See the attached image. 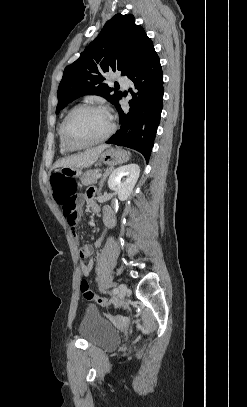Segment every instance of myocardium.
Instances as JSON below:
<instances>
[{"label":"myocardium","instance_id":"myocardium-1","mask_svg":"<svg viewBox=\"0 0 247 407\" xmlns=\"http://www.w3.org/2000/svg\"><path fill=\"white\" fill-rule=\"evenodd\" d=\"M83 110H99L104 112L110 121V127L108 129V131L100 138L88 142V143H83V144H77L74 143L73 141H71L68 137V125L71 121V119L80 111ZM115 131V122L114 119L111 115V113L102 105H98V104H90V103H86V104H81L78 105L76 107H74L65 117L64 121H63V125H62V139L64 144L72 149V150H78V149H84V148H88L94 145H97L99 143H102L104 141H106Z\"/></svg>","mask_w":247,"mask_h":407}]
</instances>
